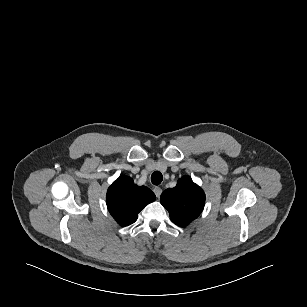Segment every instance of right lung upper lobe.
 <instances>
[{
  "label": "right lung upper lobe",
  "instance_id": "1",
  "mask_svg": "<svg viewBox=\"0 0 307 307\" xmlns=\"http://www.w3.org/2000/svg\"><path fill=\"white\" fill-rule=\"evenodd\" d=\"M154 200L155 194L149 188L137 186L128 176L114 181L106 196L108 210L121 226L134 223L138 213Z\"/></svg>",
  "mask_w": 307,
  "mask_h": 307
}]
</instances>
